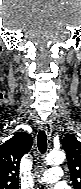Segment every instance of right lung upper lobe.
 Returning a JSON list of instances; mask_svg holds the SVG:
<instances>
[{
  "mask_svg": "<svg viewBox=\"0 0 81 189\" xmlns=\"http://www.w3.org/2000/svg\"><path fill=\"white\" fill-rule=\"evenodd\" d=\"M32 143L30 134L19 132L0 145V189L18 187L20 161Z\"/></svg>",
  "mask_w": 81,
  "mask_h": 189,
  "instance_id": "cb5924a9",
  "label": "right lung upper lobe"
}]
</instances>
